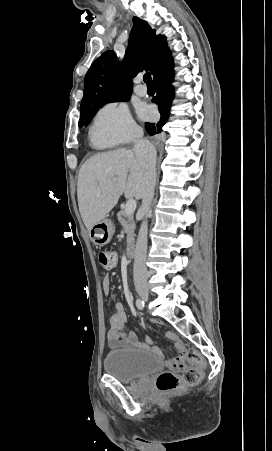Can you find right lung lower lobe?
<instances>
[{"mask_svg": "<svg viewBox=\"0 0 272 451\" xmlns=\"http://www.w3.org/2000/svg\"><path fill=\"white\" fill-rule=\"evenodd\" d=\"M173 67L174 63L172 58H170L153 75L157 95L152 99V102L159 105L158 109L161 117L157 123L145 124V128L150 135L161 133L168 121L171 102L174 98V89L171 85L174 77Z\"/></svg>", "mask_w": 272, "mask_h": 451, "instance_id": "1", "label": "right lung lower lobe"}]
</instances>
